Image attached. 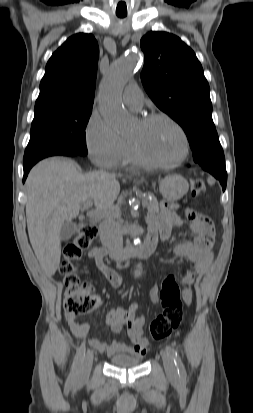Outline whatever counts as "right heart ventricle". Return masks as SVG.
I'll return each instance as SVG.
<instances>
[{"label": "right heart ventricle", "mask_w": 253, "mask_h": 413, "mask_svg": "<svg viewBox=\"0 0 253 413\" xmlns=\"http://www.w3.org/2000/svg\"><path fill=\"white\" fill-rule=\"evenodd\" d=\"M125 141H126L125 150H124V153L119 163L122 165H133V166L140 165L141 162L136 157L130 141H127V140Z\"/></svg>", "instance_id": "right-heart-ventricle-1"}]
</instances>
